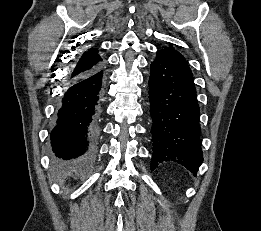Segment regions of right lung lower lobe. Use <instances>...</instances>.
<instances>
[{"mask_svg":"<svg viewBox=\"0 0 261 231\" xmlns=\"http://www.w3.org/2000/svg\"><path fill=\"white\" fill-rule=\"evenodd\" d=\"M105 72L99 66L71 80L58 101L50 135L55 161L60 165L88 161L98 135L97 120Z\"/></svg>","mask_w":261,"mask_h":231,"instance_id":"obj_1","label":"right lung lower lobe"}]
</instances>
